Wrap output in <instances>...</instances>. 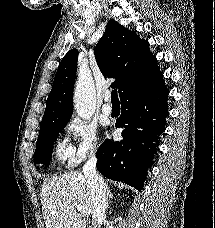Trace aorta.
<instances>
[{"instance_id": "762f6f07", "label": "aorta", "mask_w": 215, "mask_h": 228, "mask_svg": "<svg viewBox=\"0 0 215 228\" xmlns=\"http://www.w3.org/2000/svg\"><path fill=\"white\" fill-rule=\"evenodd\" d=\"M94 98L95 92L92 82H89L88 78H81V76H79L73 100L76 114H78L82 120H89L92 114H94L96 108Z\"/></svg>"}]
</instances>
